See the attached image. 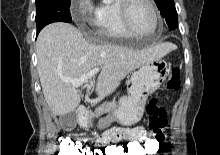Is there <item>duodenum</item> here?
<instances>
[{"mask_svg":"<svg viewBox=\"0 0 220 155\" xmlns=\"http://www.w3.org/2000/svg\"><path fill=\"white\" fill-rule=\"evenodd\" d=\"M76 113L80 122H84L89 114L88 110L84 106L78 107Z\"/></svg>","mask_w":220,"mask_h":155,"instance_id":"410a0bca","label":"duodenum"}]
</instances>
